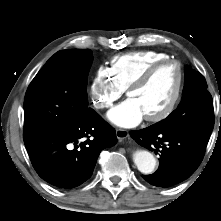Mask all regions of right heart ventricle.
<instances>
[{
    "label": "right heart ventricle",
    "instance_id": "right-heart-ventricle-1",
    "mask_svg": "<svg viewBox=\"0 0 221 221\" xmlns=\"http://www.w3.org/2000/svg\"><path fill=\"white\" fill-rule=\"evenodd\" d=\"M169 58L168 54L154 50L130 52L114 56L108 69L126 90L150 65Z\"/></svg>",
    "mask_w": 221,
    "mask_h": 221
}]
</instances>
